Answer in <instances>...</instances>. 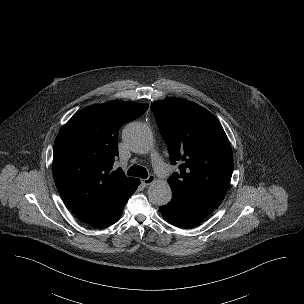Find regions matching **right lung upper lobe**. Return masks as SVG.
<instances>
[{
  "label": "right lung upper lobe",
  "mask_w": 304,
  "mask_h": 304,
  "mask_svg": "<svg viewBox=\"0 0 304 304\" xmlns=\"http://www.w3.org/2000/svg\"><path fill=\"white\" fill-rule=\"evenodd\" d=\"M147 104L110 101L77 112L54 143L56 187L68 207L90 222L103 213L135 178L113 171L121 126L146 112Z\"/></svg>",
  "instance_id": "cb5924a9"
}]
</instances>
